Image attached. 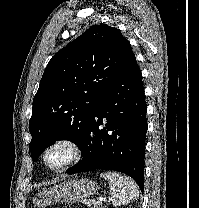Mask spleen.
Instances as JSON below:
<instances>
[{
	"label": "spleen",
	"mask_w": 199,
	"mask_h": 208,
	"mask_svg": "<svg viewBox=\"0 0 199 208\" xmlns=\"http://www.w3.org/2000/svg\"><path fill=\"white\" fill-rule=\"evenodd\" d=\"M100 176L109 183L110 200L115 207L126 205L139 196L137 185L129 177L114 172H104Z\"/></svg>",
	"instance_id": "obj_1"
}]
</instances>
